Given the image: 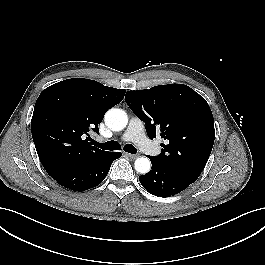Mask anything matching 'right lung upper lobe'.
Instances as JSON below:
<instances>
[{"mask_svg": "<svg viewBox=\"0 0 265 265\" xmlns=\"http://www.w3.org/2000/svg\"><path fill=\"white\" fill-rule=\"evenodd\" d=\"M125 92L84 78L67 79L42 91L34 106L31 132L48 174L108 153L84 138L90 130L99 133L104 114L123 100Z\"/></svg>", "mask_w": 265, "mask_h": 265, "instance_id": "cb5924a9", "label": "right lung upper lobe"}]
</instances>
